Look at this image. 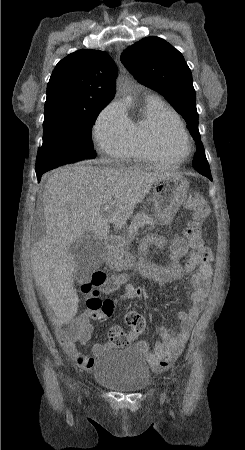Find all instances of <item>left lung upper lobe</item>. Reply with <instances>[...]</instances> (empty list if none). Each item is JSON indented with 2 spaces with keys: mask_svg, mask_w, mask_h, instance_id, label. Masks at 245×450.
<instances>
[{
  "mask_svg": "<svg viewBox=\"0 0 245 450\" xmlns=\"http://www.w3.org/2000/svg\"><path fill=\"white\" fill-rule=\"evenodd\" d=\"M121 62L141 84L152 88L168 99L183 116L196 142L201 147L198 130L196 93L192 74L182 54L164 39L147 37L125 49ZM193 167L210 172L204 155L195 154Z\"/></svg>",
  "mask_w": 245,
  "mask_h": 450,
  "instance_id": "obj_1",
  "label": "left lung upper lobe"
}]
</instances>
